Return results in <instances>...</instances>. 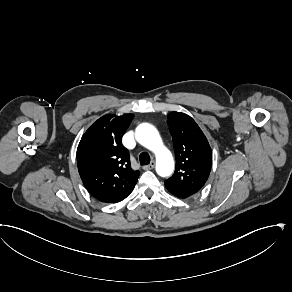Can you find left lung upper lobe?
I'll list each match as a JSON object with an SVG mask.
<instances>
[{
    "label": "left lung upper lobe",
    "instance_id": "left-lung-upper-lobe-1",
    "mask_svg": "<svg viewBox=\"0 0 292 292\" xmlns=\"http://www.w3.org/2000/svg\"><path fill=\"white\" fill-rule=\"evenodd\" d=\"M167 124L173 137L176 167L165 186L197 193L212 167V151L204 133L187 114L171 112Z\"/></svg>",
    "mask_w": 292,
    "mask_h": 292
}]
</instances>
